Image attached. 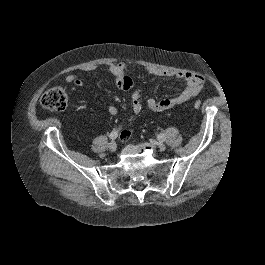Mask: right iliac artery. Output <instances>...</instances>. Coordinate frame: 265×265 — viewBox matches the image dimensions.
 <instances>
[{
  "mask_svg": "<svg viewBox=\"0 0 265 265\" xmlns=\"http://www.w3.org/2000/svg\"><path fill=\"white\" fill-rule=\"evenodd\" d=\"M118 134H119L118 131L114 130L110 133L109 137L110 139L114 140L118 137Z\"/></svg>",
  "mask_w": 265,
  "mask_h": 265,
  "instance_id": "obj_1",
  "label": "right iliac artery"
}]
</instances>
